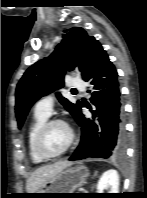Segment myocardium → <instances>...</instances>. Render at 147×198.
<instances>
[{
  "mask_svg": "<svg viewBox=\"0 0 147 198\" xmlns=\"http://www.w3.org/2000/svg\"><path fill=\"white\" fill-rule=\"evenodd\" d=\"M55 124H61L67 129L68 141L60 151H58L56 153H51V152L47 151L44 147V137H45L48 129ZM74 139H75V134H74L72 127L63 119L53 118V119L47 120L39 128V130L35 136L34 145H35V149H36L37 153L41 157H43L45 159H55V158H58V157L62 156L63 154H65L70 149V147L72 146V144L74 142Z\"/></svg>",
  "mask_w": 147,
  "mask_h": 198,
  "instance_id": "myocardium-1",
  "label": "myocardium"
}]
</instances>
